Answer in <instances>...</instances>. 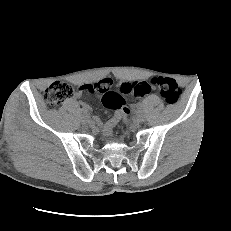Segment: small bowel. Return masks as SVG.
<instances>
[{"label": "small bowel", "instance_id": "c3829d8e", "mask_svg": "<svg viewBox=\"0 0 231 231\" xmlns=\"http://www.w3.org/2000/svg\"><path fill=\"white\" fill-rule=\"evenodd\" d=\"M91 85H93V84H84V85H81V86L79 87V89L75 92L74 97H75V98H79L80 95H81V93H82L83 91H87V88H88L89 86H91ZM84 108H87V106L84 105ZM115 122H116V119L113 118V119L109 120V121L105 124V133H106L107 135L110 134L111 129H112L113 125L115 124Z\"/></svg>", "mask_w": 231, "mask_h": 231}]
</instances>
